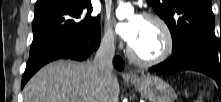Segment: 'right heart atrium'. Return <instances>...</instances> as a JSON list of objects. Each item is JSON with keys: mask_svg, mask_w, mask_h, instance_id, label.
<instances>
[{"mask_svg": "<svg viewBox=\"0 0 221 102\" xmlns=\"http://www.w3.org/2000/svg\"><path fill=\"white\" fill-rule=\"evenodd\" d=\"M115 33L111 26V24L107 21L104 24L102 36H101V44L103 47L107 49H112L115 46Z\"/></svg>", "mask_w": 221, "mask_h": 102, "instance_id": "d8ad5b80", "label": "right heart atrium"}]
</instances>
